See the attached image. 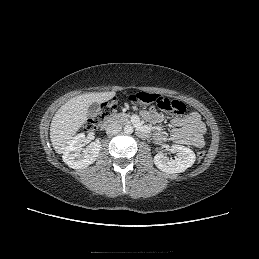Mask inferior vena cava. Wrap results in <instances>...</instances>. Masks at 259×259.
I'll return each mask as SVG.
<instances>
[{"instance_id":"obj_1","label":"inferior vena cava","mask_w":259,"mask_h":259,"mask_svg":"<svg viewBox=\"0 0 259 259\" xmlns=\"http://www.w3.org/2000/svg\"><path fill=\"white\" fill-rule=\"evenodd\" d=\"M122 130V126L118 123H110L107 128H106V134L108 136H113V135H116L118 134L119 132H121Z\"/></svg>"}]
</instances>
